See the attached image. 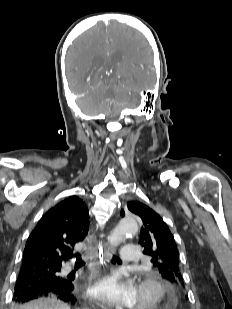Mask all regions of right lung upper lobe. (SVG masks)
<instances>
[{
  "label": "right lung upper lobe",
  "mask_w": 232,
  "mask_h": 309,
  "mask_svg": "<svg viewBox=\"0 0 232 309\" xmlns=\"http://www.w3.org/2000/svg\"><path fill=\"white\" fill-rule=\"evenodd\" d=\"M89 230L85 203L71 196L49 209L29 235L22 264H34L40 272L60 271L72 258L73 247L84 240Z\"/></svg>",
  "instance_id": "obj_1"
}]
</instances>
